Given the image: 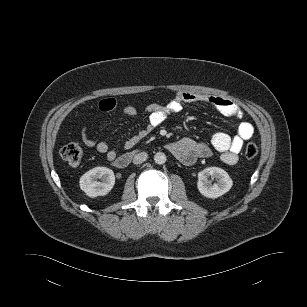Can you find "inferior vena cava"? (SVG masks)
Returning <instances> with one entry per match:
<instances>
[{"label":"inferior vena cava","mask_w":307,"mask_h":307,"mask_svg":"<svg viewBox=\"0 0 307 307\" xmlns=\"http://www.w3.org/2000/svg\"><path fill=\"white\" fill-rule=\"evenodd\" d=\"M148 157V154L146 152H141V153H138L134 156L133 158V163L134 164H141L143 163L144 161H146Z\"/></svg>","instance_id":"obj_1"}]
</instances>
